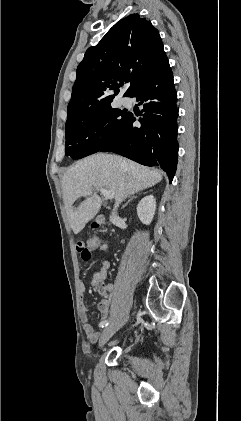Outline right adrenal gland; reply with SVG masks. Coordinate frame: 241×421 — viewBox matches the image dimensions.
<instances>
[{"instance_id":"obj_1","label":"right adrenal gland","mask_w":241,"mask_h":421,"mask_svg":"<svg viewBox=\"0 0 241 421\" xmlns=\"http://www.w3.org/2000/svg\"><path fill=\"white\" fill-rule=\"evenodd\" d=\"M139 194H141V191H139V192H137V194L136 195H134V196H132L129 200H128V202H126V204H124L123 205V207L122 208H125L133 199H135L136 197H137V195H139Z\"/></svg>"}]
</instances>
